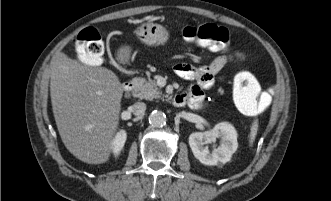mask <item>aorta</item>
<instances>
[{
	"instance_id": "aorta-1",
	"label": "aorta",
	"mask_w": 331,
	"mask_h": 201,
	"mask_svg": "<svg viewBox=\"0 0 331 201\" xmlns=\"http://www.w3.org/2000/svg\"><path fill=\"white\" fill-rule=\"evenodd\" d=\"M166 121V115L162 111L155 110L149 115V123L153 127H163Z\"/></svg>"
}]
</instances>
